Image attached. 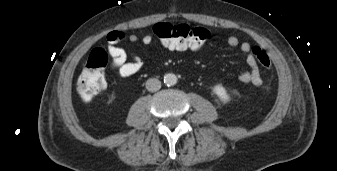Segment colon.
<instances>
[{"label": "colon", "instance_id": "colon-1", "mask_svg": "<svg viewBox=\"0 0 337 171\" xmlns=\"http://www.w3.org/2000/svg\"><path fill=\"white\" fill-rule=\"evenodd\" d=\"M153 32L159 39L160 49L165 53H178L184 48L197 51L209 36V31L202 26L166 22L155 24ZM251 53L262 68L270 69L271 60L264 50L255 46ZM107 63L108 55L104 49L92 50L76 84L77 91L84 103H91L105 89L104 70Z\"/></svg>", "mask_w": 337, "mask_h": 171}]
</instances>
